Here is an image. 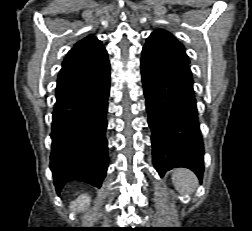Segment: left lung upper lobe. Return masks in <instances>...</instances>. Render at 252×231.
I'll return each mask as SVG.
<instances>
[{"label": "left lung upper lobe", "mask_w": 252, "mask_h": 231, "mask_svg": "<svg viewBox=\"0 0 252 231\" xmlns=\"http://www.w3.org/2000/svg\"><path fill=\"white\" fill-rule=\"evenodd\" d=\"M160 34H164V35H169V36H173L170 32L163 30V29H157L156 31H154L149 38L153 37V36H157Z\"/></svg>", "instance_id": "left-lung-upper-lobe-1"}]
</instances>
